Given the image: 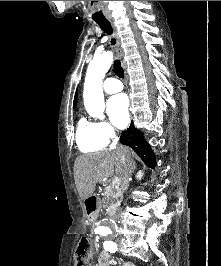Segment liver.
I'll use <instances>...</instances> for the list:
<instances>
[{
    "label": "liver",
    "instance_id": "obj_1",
    "mask_svg": "<svg viewBox=\"0 0 221 266\" xmlns=\"http://www.w3.org/2000/svg\"><path fill=\"white\" fill-rule=\"evenodd\" d=\"M122 150L131 157L128 148L119 147L116 150L107 149L96 153L80 155L76 158L74 163V179L78 194L82 200H86L88 194H93L98 182L111 177L114 173L120 179H123L124 165L119 154V151Z\"/></svg>",
    "mask_w": 221,
    "mask_h": 266
}]
</instances>
